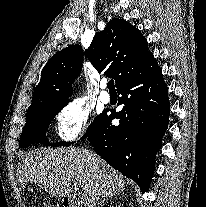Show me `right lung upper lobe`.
I'll return each mask as SVG.
<instances>
[{
    "label": "right lung upper lobe",
    "mask_w": 206,
    "mask_h": 207,
    "mask_svg": "<svg viewBox=\"0 0 206 207\" xmlns=\"http://www.w3.org/2000/svg\"><path fill=\"white\" fill-rule=\"evenodd\" d=\"M85 55L96 70L115 79L116 87L134 75L153 55L141 32L126 20L112 19L97 33ZM83 50L71 45L56 53L44 66L27 112L42 105L69 101L72 84L80 74Z\"/></svg>",
    "instance_id": "obj_1"
}]
</instances>
